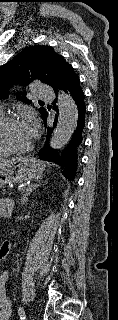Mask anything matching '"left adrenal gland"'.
<instances>
[{
    "mask_svg": "<svg viewBox=\"0 0 118 320\" xmlns=\"http://www.w3.org/2000/svg\"><path fill=\"white\" fill-rule=\"evenodd\" d=\"M42 181H38V183H34L29 185L25 190H23L22 197H21V204L24 205L28 202V196L35 190L37 187L41 186Z\"/></svg>",
    "mask_w": 118,
    "mask_h": 320,
    "instance_id": "left-adrenal-gland-1",
    "label": "left adrenal gland"
}]
</instances>
